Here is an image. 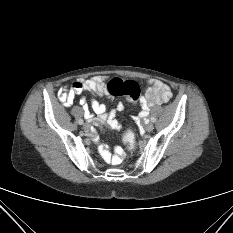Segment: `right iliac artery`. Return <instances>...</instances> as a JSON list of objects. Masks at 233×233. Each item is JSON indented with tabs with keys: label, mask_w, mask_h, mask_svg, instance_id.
Returning a JSON list of instances; mask_svg holds the SVG:
<instances>
[{
	"label": "right iliac artery",
	"mask_w": 233,
	"mask_h": 233,
	"mask_svg": "<svg viewBox=\"0 0 233 233\" xmlns=\"http://www.w3.org/2000/svg\"><path fill=\"white\" fill-rule=\"evenodd\" d=\"M78 123H79L80 125H82V124H83V120L80 119V120L78 121Z\"/></svg>",
	"instance_id": "right-iliac-artery-1"
}]
</instances>
